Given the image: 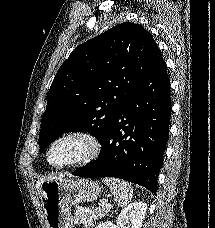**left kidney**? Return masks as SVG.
Returning <instances> with one entry per match:
<instances>
[{
    "label": "left kidney",
    "instance_id": "left-kidney-1",
    "mask_svg": "<svg viewBox=\"0 0 215 228\" xmlns=\"http://www.w3.org/2000/svg\"><path fill=\"white\" fill-rule=\"evenodd\" d=\"M147 212V204L133 202L120 212L116 220V228H142Z\"/></svg>",
    "mask_w": 215,
    "mask_h": 228
}]
</instances>
